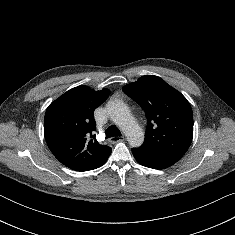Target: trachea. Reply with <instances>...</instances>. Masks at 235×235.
Returning <instances> with one entry per match:
<instances>
[{"label":"trachea","mask_w":235,"mask_h":235,"mask_svg":"<svg viewBox=\"0 0 235 235\" xmlns=\"http://www.w3.org/2000/svg\"><path fill=\"white\" fill-rule=\"evenodd\" d=\"M105 134H106V138H110L114 136H121L120 130L114 125L109 126L107 130L105 131Z\"/></svg>","instance_id":"1"}]
</instances>
